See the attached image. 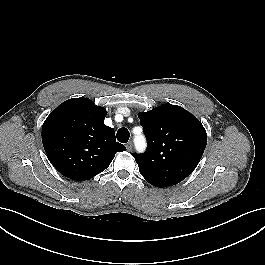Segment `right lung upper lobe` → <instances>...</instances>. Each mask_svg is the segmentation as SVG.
<instances>
[{
    "instance_id": "1",
    "label": "right lung upper lobe",
    "mask_w": 265,
    "mask_h": 265,
    "mask_svg": "<svg viewBox=\"0 0 265 265\" xmlns=\"http://www.w3.org/2000/svg\"><path fill=\"white\" fill-rule=\"evenodd\" d=\"M106 109L90 99L73 98L60 104L42 126V142L52 165L65 177L88 180L106 169L116 152L126 147L104 124Z\"/></svg>"
}]
</instances>
